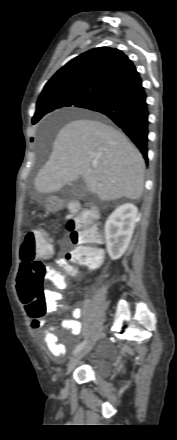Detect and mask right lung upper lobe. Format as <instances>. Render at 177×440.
Here are the masks:
<instances>
[{"instance_id":"1","label":"right lung upper lobe","mask_w":177,"mask_h":440,"mask_svg":"<svg viewBox=\"0 0 177 440\" xmlns=\"http://www.w3.org/2000/svg\"><path fill=\"white\" fill-rule=\"evenodd\" d=\"M138 76L134 64L120 50L95 48L75 57L58 70L46 83L37 104L70 91L104 96Z\"/></svg>"}]
</instances>
